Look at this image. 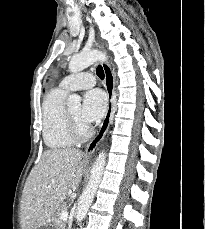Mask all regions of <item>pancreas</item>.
<instances>
[{
    "instance_id": "1",
    "label": "pancreas",
    "mask_w": 205,
    "mask_h": 229,
    "mask_svg": "<svg viewBox=\"0 0 205 229\" xmlns=\"http://www.w3.org/2000/svg\"><path fill=\"white\" fill-rule=\"evenodd\" d=\"M62 212H67V206L62 205L57 212L54 214V224L56 229H65V222L61 219L60 215Z\"/></svg>"
}]
</instances>
